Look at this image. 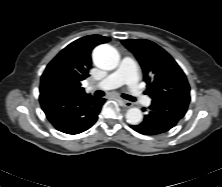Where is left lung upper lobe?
<instances>
[{
  "label": "left lung upper lobe",
  "mask_w": 222,
  "mask_h": 187,
  "mask_svg": "<svg viewBox=\"0 0 222 187\" xmlns=\"http://www.w3.org/2000/svg\"><path fill=\"white\" fill-rule=\"evenodd\" d=\"M122 43L139 61L147 84L145 93L152 101L166 97L190 98V87L184 72L164 49L145 39L122 40Z\"/></svg>",
  "instance_id": "left-lung-upper-lobe-1"
}]
</instances>
